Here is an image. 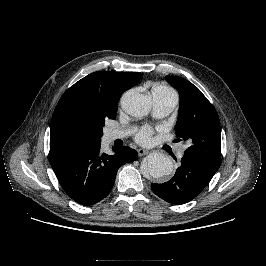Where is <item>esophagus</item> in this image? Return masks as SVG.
<instances>
[{"label": "esophagus", "mask_w": 266, "mask_h": 266, "mask_svg": "<svg viewBox=\"0 0 266 266\" xmlns=\"http://www.w3.org/2000/svg\"><path fill=\"white\" fill-rule=\"evenodd\" d=\"M137 152H138V155H139V156H144V155H147V154L149 153L148 150H145V149H142V148H139V149L137 150Z\"/></svg>", "instance_id": "1"}]
</instances>
